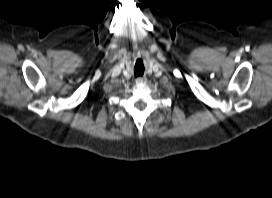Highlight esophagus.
<instances>
[{
  "label": "esophagus",
  "mask_w": 272,
  "mask_h": 198,
  "mask_svg": "<svg viewBox=\"0 0 272 198\" xmlns=\"http://www.w3.org/2000/svg\"><path fill=\"white\" fill-rule=\"evenodd\" d=\"M141 81H142V79H138V80H137V82H141Z\"/></svg>",
  "instance_id": "esophagus-1"
}]
</instances>
